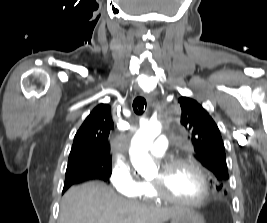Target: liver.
<instances>
[{
	"instance_id": "obj_1",
	"label": "liver",
	"mask_w": 267,
	"mask_h": 223,
	"mask_svg": "<svg viewBox=\"0 0 267 223\" xmlns=\"http://www.w3.org/2000/svg\"><path fill=\"white\" fill-rule=\"evenodd\" d=\"M181 211L124 199L105 183L92 181L64 194L59 223H164Z\"/></svg>"
}]
</instances>
